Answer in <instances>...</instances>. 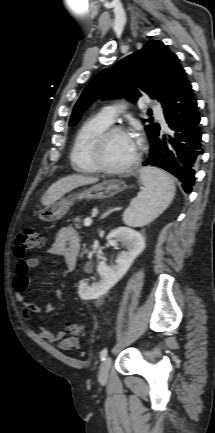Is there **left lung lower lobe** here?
Segmentation results:
<instances>
[{
	"label": "left lung lower lobe",
	"mask_w": 215,
	"mask_h": 433,
	"mask_svg": "<svg viewBox=\"0 0 215 433\" xmlns=\"http://www.w3.org/2000/svg\"><path fill=\"white\" fill-rule=\"evenodd\" d=\"M171 135L159 131L151 143L150 157L143 165L165 169L176 176L190 193L201 151L200 115L192 86L185 78L163 104Z\"/></svg>",
	"instance_id": "1"
}]
</instances>
